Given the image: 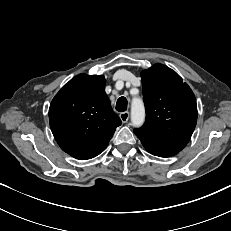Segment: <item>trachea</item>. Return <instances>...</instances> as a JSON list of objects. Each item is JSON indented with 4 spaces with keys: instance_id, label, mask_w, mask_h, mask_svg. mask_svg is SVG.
<instances>
[{
    "instance_id": "obj_1",
    "label": "trachea",
    "mask_w": 231,
    "mask_h": 231,
    "mask_svg": "<svg viewBox=\"0 0 231 231\" xmlns=\"http://www.w3.org/2000/svg\"><path fill=\"white\" fill-rule=\"evenodd\" d=\"M116 110L119 112H124L127 110V99L125 97H120L116 103Z\"/></svg>"
}]
</instances>
